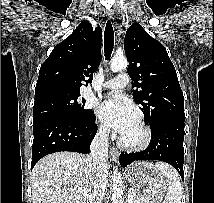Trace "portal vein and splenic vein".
Wrapping results in <instances>:
<instances>
[{"instance_id":"portal-vein-and-splenic-vein-1","label":"portal vein and splenic vein","mask_w":214,"mask_h":203,"mask_svg":"<svg viewBox=\"0 0 214 203\" xmlns=\"http://www.w3.org/2000/svg\"><path fill=\"white\" fill-rule=\"evenodd\" d=\"M128 203H133V195H132V192H129L128 193Z\"/></svg>"}]
</instances>
